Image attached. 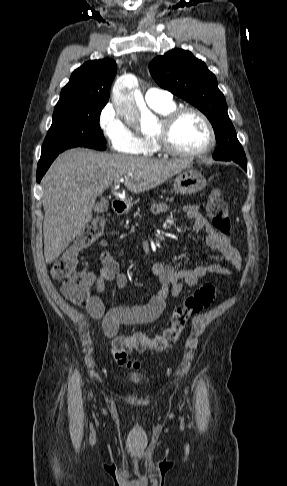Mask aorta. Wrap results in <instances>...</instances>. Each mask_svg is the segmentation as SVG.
<instances>
[{
	"instance_id": "762f6f07",
	"label": "aorta",
	"mask_w": 287,
	"mask_h": 486,
	"mask_svg": "<svg viewBox=\"0 0 287 486\" xmlns=\"http://www.w3.org/2000/svg\"><path fill=\"white\" fill-rule=\"evenodd\" d=\"M112 100L117 113L127 123H140L142 128H150L156 124V117L139 97L138 89L130 87L126 78H121L115 83Z\"/></svg>"
}]
</instances>
